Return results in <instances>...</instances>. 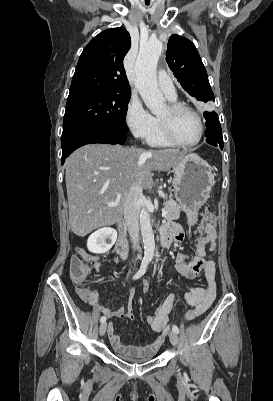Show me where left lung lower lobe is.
<instances>
[{"label":"left lung lower lobe","mask_w":273,"mask_h":401,"mask_svg":"<svg viewBox=\"0 0 273 401\" xmlns=\"http://www.w3.org/2000/svg\"><path fill=\"white\" fill-rule=\"evenodd\" d=\"M206 119V142L223 149L222 129L218 115L215 112H204Z\"/></svg>","instance_id":"1"}]
</instances>
